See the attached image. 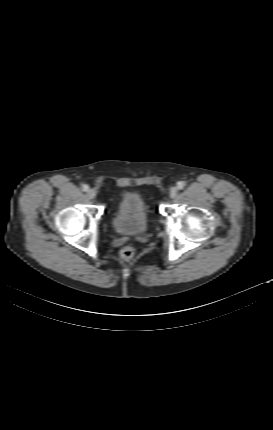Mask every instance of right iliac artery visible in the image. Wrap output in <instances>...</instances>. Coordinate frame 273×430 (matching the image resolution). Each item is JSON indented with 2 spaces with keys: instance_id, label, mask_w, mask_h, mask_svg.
<instances>
[{
  "instance_id": "obj_1",
  "label": "right iliac artery",
  "mask_w": 273,
  "mask_h": 430,
  "mask_svg": "<svg viewBox=\"0 0 273 430\" xmlns=\"http://www.w3.org/2000/svg\"><path fill=\"white\" fill-rule=\"evenodd\" d=\"M88 189H89V186L87 185V184H84L83 186H82V190L83 191H88Z\"/></svg>"
}]
</instances>
